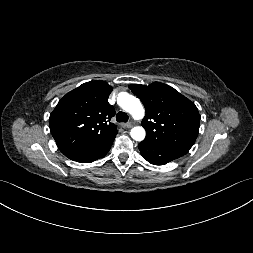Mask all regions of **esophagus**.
<instances>
[{"mask_svg":"<svg viewBox=\"0 0 253 253\" xmlns=\"http://www.w3.org/2000/svg\"><path fill=\"white\" fill-rule=\"evenodd\" d=\"M122 127H123V128H131V127H132V123H131V122L123 123V124H122Z\"/></svg>","mask_w":253,"mask_h":253,"instance_id":"34e87169","label":"esophagus"}]
</instances>
